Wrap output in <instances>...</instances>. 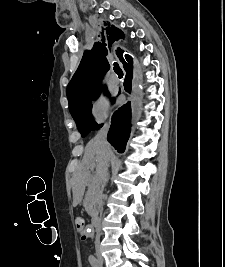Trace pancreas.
<instances>
[{
	"mask_svg": "<svg viewBox=\"0 0 225 267\" xmlns=\"http://www.w3.org/2000/svg\"><path fill=\"white\" fill-rule=\"evenodd\" d=\"M95 191H96V185L93 183H90L85 200H84V207L86 208V210L89 209V203H90V200L92 199V197L94 196Z\"/></svg>",
	"mask_w": 225,
	"mask_h": 267,
	"instance_id": "cf45deb5",
	"label": "pancreas"
}]
</instances>
